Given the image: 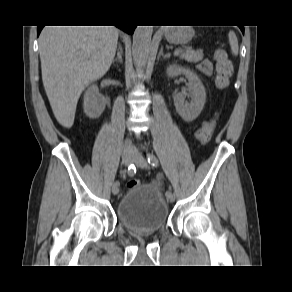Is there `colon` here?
<instances>
[{
    "mask_svg": "<svg viewBox=\"0 0 292 292\" xmlns=\"http://www.w3.org/2000/svg\"><path fill=\"white\" fill-rule=\"evenodd\" d=\"M214 59L216 62V77L215 83L218 89L224 90L229 86L230 78L233 72V66L228 58V54L224 49L218 48L214 51ZM217 123V116L209 121L203 123V125L197 131V138L202 144H206ZM140 185L137 179H132L127 183L128 188H133Z\"/></svg>",
    "mask_w": 292,
    "mask_h": 292,
    "instance_id": "5ec220e1",
    "label": "colon"
}]
</instances>
